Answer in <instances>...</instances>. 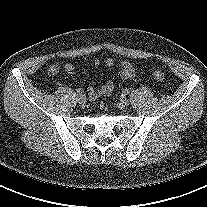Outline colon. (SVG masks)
<instances>
[{
    "mask_svg": "<svg viewBox=\"0 0 207 207\" xmlns=\"http://www.w3.org/2000/svg\"><path fill=\"white\" fill-rule=\"evenodd\" d=\"M49 73L51 74L52 72L49 71ZM152 77L156 80V81H162L165 78V74L164 72L160 71V70H154L152 72Z\"/></svg>",
    "mask_w": 207,
    "mask_h": 207,
    "instance_id": "obj_1",
    "label": "colon"
}]
</instances>
